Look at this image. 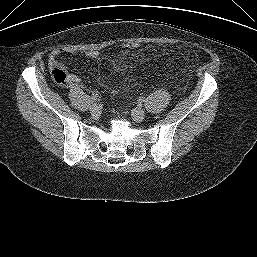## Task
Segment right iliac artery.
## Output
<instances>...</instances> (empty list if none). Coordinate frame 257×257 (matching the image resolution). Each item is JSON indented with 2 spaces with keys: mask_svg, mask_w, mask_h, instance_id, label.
I'll use <instances>...</instances> for the list:
<instances>
[{
  "mask_svg": "<svg viewBox=\"0 0 257 257\" xmlns=\"http://www.w3.org/2000/svg\"><path fill=\"white\" fill-rule=\"evenodd\" d=\"M90 100H91L92 102H95V101L97 100V97H96V96H91Z\"/></svg>",
  "mask_w": 257,
  "mask_h": 257,
  "instance_id": "82829eb1",
  "label": "right iliac artery"
}]
</instances>
